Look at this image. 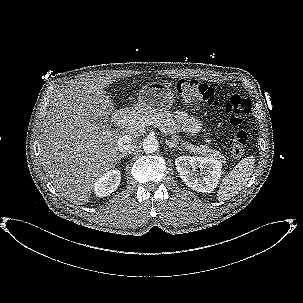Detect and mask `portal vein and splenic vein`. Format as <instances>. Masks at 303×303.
<instances>
[{"label": "portal vein and splenic vein", "instance_id": "18ae733b", "mask_svg": "<svg viewBox=\"0 0 303 303\" xmlns=\"http://www.w3.org/2000/svg\"><path fill=\"white\" fill-rule=\"evenodd\" d=\"M148 125H153L154 127H157L165 135L168 134L166 128L158 122H149Z\"/></svg>", "mask_w": 303, "mask_h": 303}]
</instances>
